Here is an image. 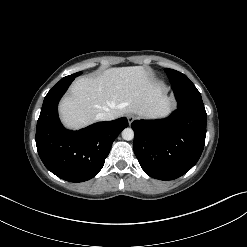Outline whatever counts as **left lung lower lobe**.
<instances>
[{"mask_svg":"<svg viewBox=\"0 0 247 247\" xmlns=\"http://www.w3.org/2000/svg\"><path fill=\"white\" fill-rule=\"evenodd\" d=\"M178 109L166 119L135 120L134 152L142 169L160 180L176 179L199 160L207 114L194 85H172Z\"/></svg>","mask_w":247,"mask_h":247,"instance_id":"1","label":"left lung lower lobe"}]
</instances>
